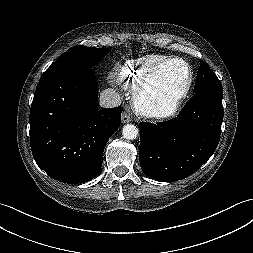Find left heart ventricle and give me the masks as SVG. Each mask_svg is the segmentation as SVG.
<instances>
[{
	"mask_svg": "<svg viewBox=\"0 0 253 253\" xmlns=\"http://www.w3.org/2000/svg\"><path fill=\"white\" fill-rule=\"evenodd\" d=\"M187 67L180 62L164 66L153 78L147 92V99L160 109H167L172 99L186 86Z\"/></svg>",
	"mask_w": 253,
	"mask_h": 253,
	"instance_id": "obj_1",
	"label": "left heart ventricle"
}]
</instances>
